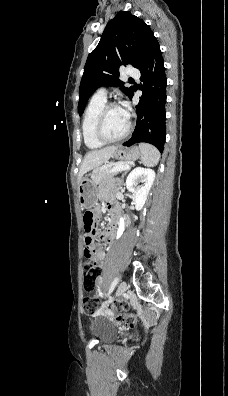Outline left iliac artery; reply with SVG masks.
I'll return each instance as SVG.
<instances>
[{"mask_svg":"<svg viewBox=\"0 0 228 396\" xmlns=\"http://www.w3.org/2000/svg\"><path fill=\"white\" fill-rule=\"evenodd\" d=\"M118 278H115L114 281L112 282L109 291H108V296L113 292L114 288L116 287L117 283H118Z\"/></svg>","mask_w":228,"mask_h":396,"instance_id":"1","label":"left iliac artery"}]
</instances>
